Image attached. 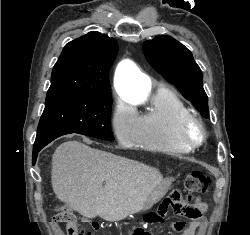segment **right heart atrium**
Returning a JSON list of instances; mask_svg holds the SVG:
<instances>
[{"instance_id": "right-heart-atrium-1", "label": "right heart atrium", "mask_w": 250, "mask_h": 235, "mask_svg": "<svg viewBox=\"0 0 250 235\" xmlns=\"http://www.w3.org/2000/svg\"><path fill=\"white\" fill-rule=\"evenodd\" d=\"M111 128L118 142L129 146L135 144L138 138V115L136 112L120 100L113 105Z\"/></svg>"}]
</instances>
